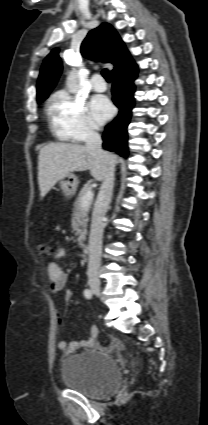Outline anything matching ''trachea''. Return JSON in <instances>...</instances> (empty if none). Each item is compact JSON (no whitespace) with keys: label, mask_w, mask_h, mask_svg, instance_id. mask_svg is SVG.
I'll return each mask as SVG.
<instances>
[{"label":"trachea","mask_w":208,"mask_h":425,"mask_svg":"<svg viewBox=\"0 0 208 425\" xmlns=\"http://www.w3.org/2000/svg\"><path fill=\"white\" fill-rule=\"evenodd\" d=\"M101 73H102V76L105 78L106 81H111V78H110V75H109V72H108L107 69L102 70Z\"/></svg>","instance_id":"3493384b"}]
</instances>
